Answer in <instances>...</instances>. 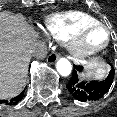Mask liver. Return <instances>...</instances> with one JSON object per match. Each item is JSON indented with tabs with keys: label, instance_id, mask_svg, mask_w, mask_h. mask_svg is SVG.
<instances>
[{
	"label": "liver",
	"instance_id": "obj_1",
	"mask_svg": "<svg viewBox=\"0 0 117 117\" xmlns=\"http://www.w3.org/2000/svg\"><path fill=\"white\" fill-rule=\"evenodd\" d=\"M37 36L22 15L0 12V99L17 96L25 85Z\"/></svg>",
	"mask_w": 117,
	"mask_h": 117
}]
</instances>
